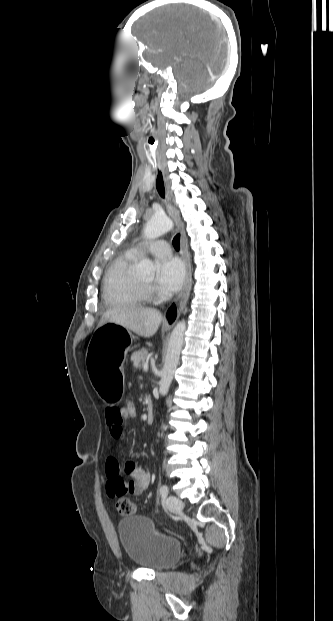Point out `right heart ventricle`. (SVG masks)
Here are the masks:
<instances>
[{
	"label": "right heart ventricle",
	"mask_w": 333,
	"mask_h": 621,
	"mask_svg": "<svg viewBox=\"0 0 333 621\" xmlns=\"http://www.w3.org/2000/svg\"><path fill=\"white\" fill-rule=\"evenodd\" d=\"M136 256L127 252L109 267L104 283L103 297L109 305L141 306L149 300V293L131 272Z\"/></svg>",
	"instance_id": "right-heart-ventricle-1"
}]
</instances>
